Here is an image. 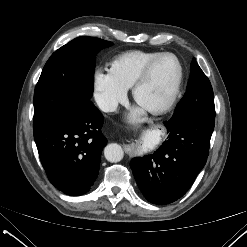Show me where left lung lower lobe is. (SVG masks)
<instances>
[{"label":"left lung lower lobe","instance_id":"1","mask_svg":"<svg viewBox=\"0 0 247 247\" xmlns=\"http://www.w3.org/2000/svg\"><path fill=\"white\" fill-rule=\"evenodd\" d=\"M164 124L168 140L130 164L144 197L157 205L178 200L191 187L207 161L215 119L189 112Z\"/></svg>","mask_w":247,"mask_h":247}]
</instances>
